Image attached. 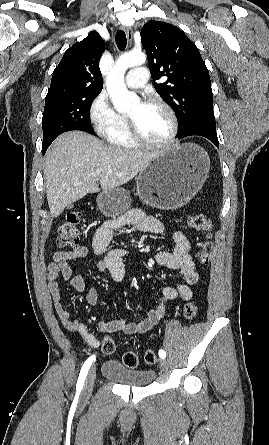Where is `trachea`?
I'll return each instance as SVG.
<instances>
[{
  "label": "trachea",
  "instance_id": "trachea-1",
  "mask_svg": "<svg viewBox=\"0 0 269 445\" xmlns=\"http://www.w3.org/2000/svg\"><path fill=\"white\" fill-rule=\"evenodd\" d=\"M116 44L119 50H124L127 45L126 34L124 31L119 30L116 34Z\"/></svg>",
  "mask_w": 269,
  "mask_h": 445
}]
</instances>
